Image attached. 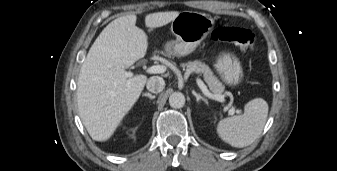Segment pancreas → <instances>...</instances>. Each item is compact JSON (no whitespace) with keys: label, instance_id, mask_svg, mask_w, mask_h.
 Segmentation results:
<instances>
[{"label":"pancreas","instance_id":"1","mask_svg":"<svg viewBox=\"0 0 337 171\" xmlns=\"http://www.w3.org/2000/svg\"><path fill=\"white\" fill-rule=\"evenodd\" d=\"M182 67H186L189 70H193L196 73H202L205 82L208 84L209 89L213 94H222L224 92V85L213 74L208 65L198 60L182 64Z\"/></svg>","mask_w":337,"mask_h":171}]
</instances>
